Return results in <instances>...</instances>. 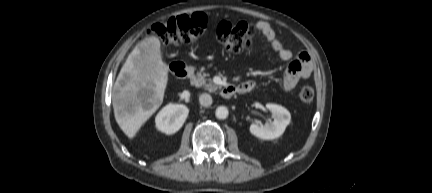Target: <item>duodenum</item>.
Segmentation results:
<instances>
[{
    "mask_svg": "<svg viewBox=\"0 0 432 193\" xmlns=\"http://www.w3.org/2000/svg\"><path fill=\"white\" fill-rule=\"evenodd\" d=\"M172 73L180 79H189L192 76V70L189 66L182 62H173L170 65ZM240 92L236 85H227L222 87L221 96L223 98H231L235 93Z\"/></svg>",
    "mask_w": 432,
    "mask_h": 193,
    "instance_id": "obj_1",
    "label": "duodenum"
}]
</instances>
